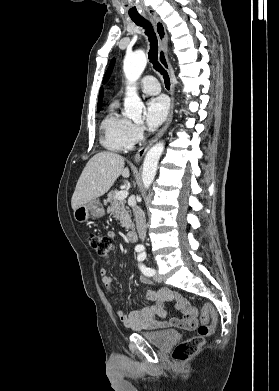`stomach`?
Masks as SVG:
<instances>
[{
    "mask_svg": "<svg viewBox=\"0 0 279 391\" xmlns=\"http://www.w3.org/2000/svg\"><path fill=\"white\" fill-rule=\"evenodd\" d=\"M104 214L105 211L102 203L96 199L74 210V219L80 223H84L87 222L90 217L100 218L104 216Z\"/></svg>",
    "mask_w": 279,
    "mask_h": 391,
    "instance_id": "obj_1",
    "label": "stomach"
}]
</instances>
